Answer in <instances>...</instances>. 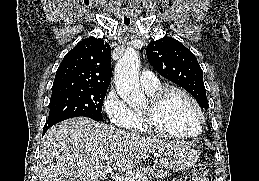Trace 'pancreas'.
I'll use <instances>...</instances> for the list:
<instances>
[{
  "label": "pancreas",
  "instance_id": "cf45deb5",
  "mask_svg": "<svg viewBox=\"0 0 259 181\" xmlns=\"http://www.w3.org/2000/svg\"><path fill=\"white\" fill-rule=\"evenodd\" d=\"M170 176L171 174L169 172H166L163 170H157L156 168H150V167H140L132 172L130 178L133 181H139L142 178H146V179L156 178V179L164 180L165 178Z\"/></svg>",
  "mask_w": 259,
  "mask_h": 181
}]
</instances>
